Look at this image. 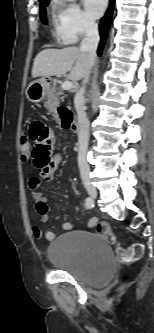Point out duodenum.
Masks as SVG:
<instances>
[{
  "label": "duodenum",
  "instance_id": "obj_1",
  "mask_svg": "<svg viewBox=\"0 0 154 333\" xmlns=\"http://www.w3.org/2000/svg\"><path fill=\"white\" fill-rule=\"evenodd\" d=\"M70 129H71L72 133H74V134H77L79 132L80 128H79V123H78L77 119L72 118Z\"/></svg>",
  "mask_w": 154,
  "mask_h": 333
}]
</instances>
